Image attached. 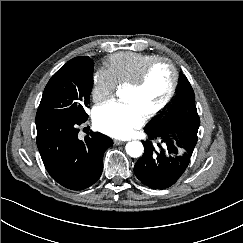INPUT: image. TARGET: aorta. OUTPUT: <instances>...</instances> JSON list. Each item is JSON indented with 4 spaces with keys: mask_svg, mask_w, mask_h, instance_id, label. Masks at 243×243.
Returning a JSON list of instances; mask_svg holds the SVG:
<instances>
[{
    "mask_svg": "<svg viewBox=\"0 0 243 243\" xmlns=\"http://www.w3.org/2000/svg\"><path fill=\"white\" fill-rule=\"evenodd\" d=\"M126 152L133 158L140 157L144 152L143 144L139 141H131L126 144Z\"/></svg>",
    "mask_w": 243,
    "mask_h": 243,
    "instance_id": "aorta-1",
    "label": "aorta"
}]
</instances>
